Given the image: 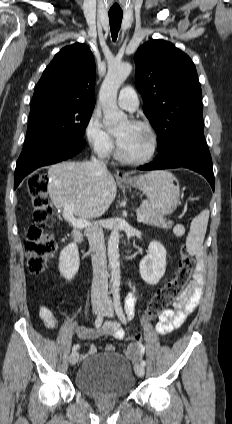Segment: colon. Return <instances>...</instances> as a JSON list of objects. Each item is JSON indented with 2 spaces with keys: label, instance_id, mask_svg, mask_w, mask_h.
<instances>
[{
  "label": "colon",
  "instance_id": "colon-1",
  "mask_svg": "<svg viewBox=\"0 0 232 424\" xmlns=\"http://www.w3.org/2000/svg\"><path fill=\"white\" fill-rule=\"evenodd\" d=\"M27 188L33 205L34 224L28 230L24 248L29 271L33 274H38L44 270L56 248L52 234L46 231L52 216V208L47 196L45 176L41 174L31 176L28 180ZM194 267V259L183 247L180 251L178 270L175 277L160 288L149 302L146 310L148 318L158 317L180 296L191 277ZM139 341V335L125 338V343L128 345L139 343Z\"/></svg>",
  "mask_w": 232,
  "mask_h": 424
}]
</instances>
